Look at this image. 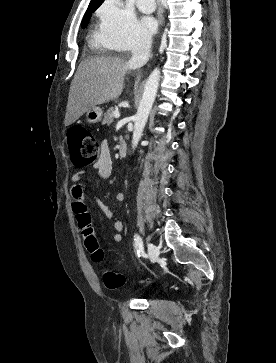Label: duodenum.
Here are the masks:
<instances>
[{
    "instance_id": "obj_1",
    "label": "duodenum",
    "mask_w": 276,
    "mask_h": 363,
    "mask_svg": "<svg viewBox=\"0 0 276 363\" xmlns=\"http://www.w3.org/2000/svg\"><path fill=\"white\" fill-rule=\"evenodd\" d=\"M127 154V143L125 138L121 137L119 139V155L125 157Z\"/></svg>"
}]
</instances>
